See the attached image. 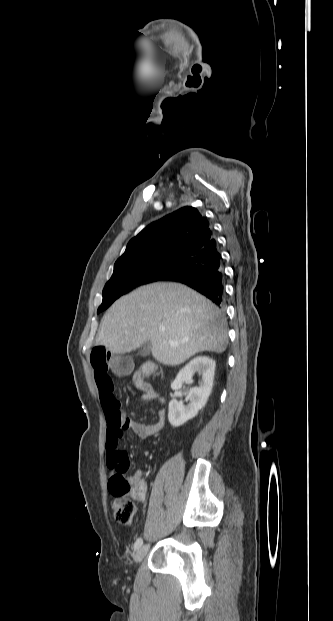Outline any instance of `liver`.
<instances>
[{"label": "liver", "mask_w": 333, "mask_h": 621, "mask_svg": "<svg viewBox=\"0 0 333 621\" xmlns=\"http://www.w3.org/2000/svg\"><path fill=\"white\" fill-rule=\"evenodd\" d=\"M147 341L157 361L173 366L198 352H224L228 334L211 301L182 284L154 283L111 306L101 321L97 345L125 354Z\"/></svg>", "instance_id": "1"}]
</instances>
